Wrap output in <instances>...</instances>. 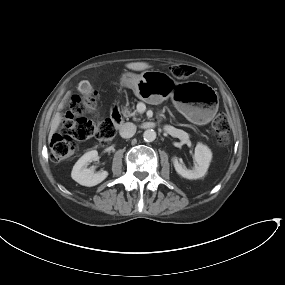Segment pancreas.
I'll list each match as a JSON object with an SVG mask.
<instances>
[{"mask_svg": "<svg viewBox=\"0 0 285 285\" xmlns=\"http://www.w3.org/2000/svg\"><path fill=\"white\" fill-rule=\"evenodd\" d=\"M134 105L132 107L133 111L131 109H129L127 106L123 107L122 109V114L125 118H129V117H134V120H136L135 115L137 114V110H134Z\"/></svg>", "mask_w": 285, "mask_h": 285, "instance_id": "pancreas-1", "label": "pancreas"}]
</instances>
